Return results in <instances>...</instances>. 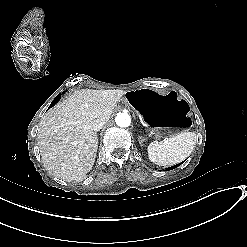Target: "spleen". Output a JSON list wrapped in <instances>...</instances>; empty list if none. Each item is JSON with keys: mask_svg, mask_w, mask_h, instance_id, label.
Listing matches in <instances>:
<instances>
[{"mask_svg": "<svg viewBox=\"0 0 247 247\" xmlns=\"http://www.w3.org/2000/svg\"><path fill=\"white\" fill-rule=\"evenodd\" d=\"M196 145L194 132H182L167 141H154L149 144L147 151L151 162L158 166L180 163L186 159Z\"/></svg>", "mask_w": 247, "mask_h": 247, "instance_id": "1", "label": "spleen"}]
</instances>
